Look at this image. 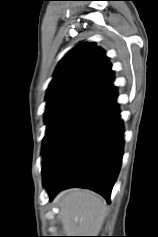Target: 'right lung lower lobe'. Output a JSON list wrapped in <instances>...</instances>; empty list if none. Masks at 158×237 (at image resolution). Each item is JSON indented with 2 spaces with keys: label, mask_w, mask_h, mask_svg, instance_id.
Returning a JSON list of instances; mask_svg holds the SVG:
<instances>
[{
  "label": "right lung lower lobe",
  "mask_w": 158,
  "mask_h": 237,
  "mask_svg": "<svg viewBox=\"0 0 158 237\" xmlns=\"http://www.w3.org/2000/svg\"><path fill=\"white\" fill-rule=\"evenodd\" d=\"M112 85L70 113L44 139L43 183L50 200L68 187L89 188L110 202L123 156V125Z\"/></svg>",
  "instance_id": "right-lung-lower-lobe-1"
}]
</instances>
